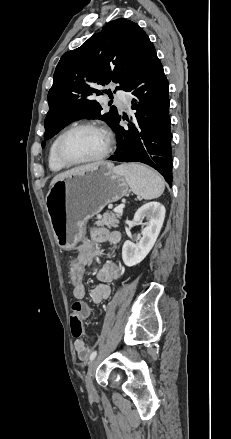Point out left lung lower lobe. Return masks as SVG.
I'll return each instance as SVG.
<instances>
[{"instance_id":"obj_1","label":"left lung lower lobe","mask_w":231,"mask_h":439,"mask_svg":"<svg viewBox=\"0 0 231 439\" xmlns=\"http://www.w3.org/2000/svg\"><path fill=\"white\" fill-rule=\"evenodd\" d=\"M169 86L160 60L152 46L124 91L132 97L135 123L129 130L115 127L117 149L109 160L145 163L172 185V153L169 115Z\"/></svg>"}]
</instances>
